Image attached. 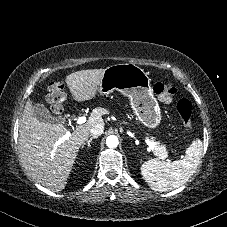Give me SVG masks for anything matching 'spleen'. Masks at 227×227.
Listing matches in <instances>:
<instances>
[{"label": "spleen", "mask_w": 227, "mask_h": 227, "mask_svg": "<svg viewBox=\"0 0 227 227\" xmlns=\"http://www.w3.org/2000/svg\"><path fill=\"white\" fill-rule=\"evenodd\" d=\"M203 151V143L196 139L186 149L185 156L177 161L151 159L141 166V174L152 190L167 192L185 184L197 169Z\"/></svg>", "instance_id": "3e777b00"}]
</instances>
